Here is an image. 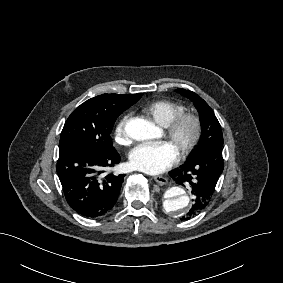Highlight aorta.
I'll return each instance as SVG.
<instances>
[{"instance_id": "762f6f07", "label": "aorta", "mask_w": 283, "mask_h": 283, "mask_svg": "<svg viewBox=\"0 0 283 283\" xmlns=\"http://www.w3.org/2000/svg\"><path fill=\"white\" fill-rule=\"evenodd\" d=\"M126 134L137 141L155 138L159 129L150 121L133 118L125 125ZM191 207L188 191L180 186H173L164 193L163 208L173 217H180Z\"/></svg>"}]
</instances>
